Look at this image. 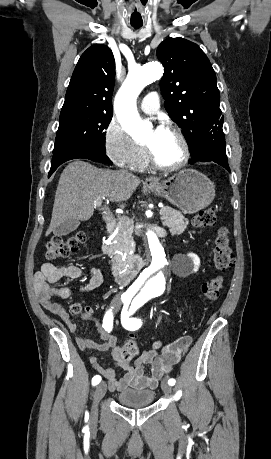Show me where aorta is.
Wrapping results in <instances>:
<instances>
[{"label":"aorta","instance_id":"762f6f07","mask_svg":"<svg viewBox=\"0 0 271 459\" xmlns=\"http://www.w3.org/2000/svg\"><path fill=\"white\" fill-rule=\"evenodd\" d=\"M163 72L162 65L157 62L132 69L116 95L114 106L117 119L134 140L144 139L149 130V125L139 117L137 97L145 86L159 80ZM146 235V266L134 282L132 289L144 291L149 297H157L165 291L169 276V262L157 235L149 228Z\"/></svg>","mask_w":271,"mask_h":459}]
</instances>
